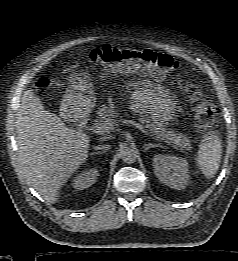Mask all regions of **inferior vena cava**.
Segmentation results:
<instances>
[{
  "instance_id": "obj_1",
  "label": "inferior vena cava",
  "mask_w": 238,
  "mask_h": 261,
  "mask_svg": "<svg viewBox=\"0 0 238 261\" xmlns=\"http://www.w3.org/2000/svg\"><path fill=\"white\" fill-rule=\"evenodd\" d=\"M109 147H110L109 145H99V146H95L94 149L95 150H100V149L108 150Z\"/></svg>"
}]
</instances>
